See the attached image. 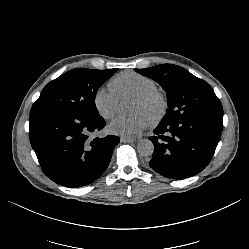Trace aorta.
<instances>
[{"instance_id":"aorta-1","label":"aorta","mask_w":249,"mask_h":249,"mask_svg":"<svg viewBox=\"0 0 249 249\" xmlns=\"http://www.w3.org/2000/svg\"><path fill=\"white\" fill-rule=\"evenodd\" d=\"M137 152L144 157L150 156L154 152V144L148 139H142L137 144Z\"/></svg>"}]
</instances>
